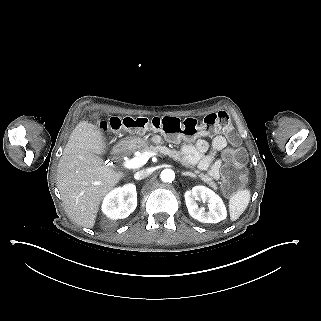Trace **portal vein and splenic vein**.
<instances>
[{
  "mask_svg": "<svg viewBox=\"0 0 321 321\" xmlns=\"http://www.w3.org/2000/svg\"><path fill=\"white\" fill-rule=\"evenodd\" d=\"M150 156L160 157V154L144 152L139 157H134L132 159L125 160L123 162V167L126 169L139 168V167L143 166L144 164H146V162L148 161Z\"/></svg>",
  "mask_w": 321,
  "mask_h": 321,
  "instance_id": "obj_1",
  "label": "portal vein and splenic vein"
}]
</instances>
